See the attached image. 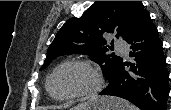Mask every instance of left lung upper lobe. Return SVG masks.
<instances>
[{
	"label": "left lung upper lobe",
	"instance_id": "1",
	"mask_svg": "<svg viewBox=\"0 0 171 110\" xmlns=\"http://www.w3.org/2000/svg\"><path fill=\"white\" fill-rule=\"evenodd\" d=\"M149 13L141 1H95L80 18L66 22L50 44L47 57L40 70L46 68L60 55L81 53L91 55L108 79L113 75L122 58L107 54L104 33H116L129 41L139 31Z\"/></svg>",
	"mask_w": 171,
	"mask_h": 110
}]
</instances>
